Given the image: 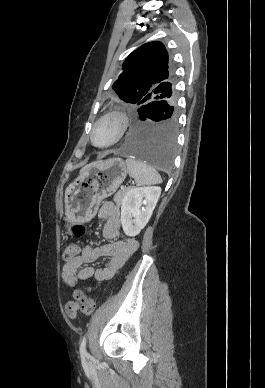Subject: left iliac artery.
Wrapping results in <instances>:
<instances>
[{
    "label": "left iliac artery",
    "instance_id": "1",
    "mask_svg": "<svg viewBox=\"0 0 265 388\" xmlns=\"http://www.w3.org/2000/svg\"><path fill=\"white\" fill-rule=\"evenodd\" d=\"M80 354L81 356H88V353L86 351V337L82 339V342L80 344Z\"/></svg>",
    "mask_w": 265,
    "mask_h": 388
}]
</instances>
